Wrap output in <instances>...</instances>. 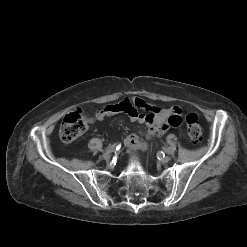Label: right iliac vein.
Masks as SVG:
<instances>
[{
	"label": "right iliac vein",
	"instance_id": "right-iliac-vein-1",
	"mask_svg": "<svg viewBox=\"0 0 247 247\" xmlns=\"http://www.w3.org/2000/svg\"><path fill=\"white\" fill-rule=\"evenodd\" d=\"M103 158H104L105 160H109V159L111 158V152H105V153L103 154Z\"/></svg>",
	"mask_w": 247,
	"mask_h": 247
}]
</instances>
